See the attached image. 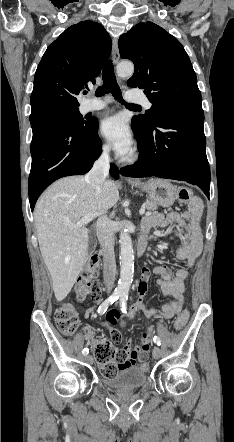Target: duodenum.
<instances>
[{"label":"duodenum","instance_id":"obj_1","mask_svg":"<svg viewBox=\"0 0 234 442\" xmlns=\"http://www.w3.org/2000/svg\"><path fill=\"white\" fill-rule=\"evenodd\" d=\"M147 248V241L145 238H141L136 245V252L139 256L143 255Z\"/></svg>","mask_w":234,"mask_h":442}]
</instances>
